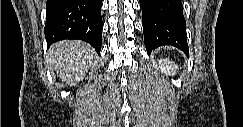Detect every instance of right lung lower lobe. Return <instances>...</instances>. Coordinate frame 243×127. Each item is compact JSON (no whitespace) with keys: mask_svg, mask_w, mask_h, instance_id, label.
I'll use <instances>...</instances> for the list:
<instances>
[{"mask_svg":"<svg viewBox=\"0 0 243 127\" xmlns=\"http://www.w3.org/2000/svg\"><path fill=\"white\" fill-rule=\"evenodd\" d=\"M101 6V0H47L44 28L47 46L64 39H79L100 54Z\"/></svg>","mask_w":243,"mask_h":127,"instance_id":"1","label":"right lung lower lobe"}]
</instances>
